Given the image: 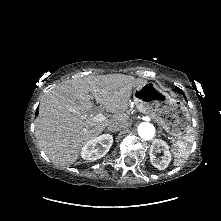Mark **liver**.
I'll return each instance as SVG.
<instances>
[{
  "instance_id": "obj_1",
  "label": "liver",
  "mask_w": 221,
  "mask_h": 221,
  "mask_svg": "<svg viewBox=\"0 0 221 221\" xmlns=\"http://www.w3.org/2000/svg\"><path fill=\"white\" fill-rule=\"evenodd\" d=\"M124 74L88 76L66 81L50 90L39 106L35 137L39 146L55 164L71 165L82 146L97 137L112 123L128 125L132 89L146 83ZM102 104L113 116L97 121L89 115L93 103ZM94 117V116H93Z\"/></svg>"
}]
</instances>
